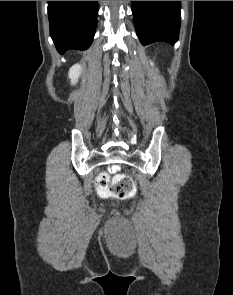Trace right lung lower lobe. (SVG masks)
Listing matches in <instances>:
<instances>
[{"label": "right lung lower lobe", "mask_w": 233, "mask_h": 295, "mask_svg": "<svg viewBox=\"0 0 233 295\" xmlns=\"http://www.w3.org/2000/svg\"><path fill=\"white\" fill-rule=\"evenodd\" d=\"M97 13L98 1H48L50 35L59 53L89 48Z\"/></svg>", "instance_id": "obj_1"}]
</instances>
